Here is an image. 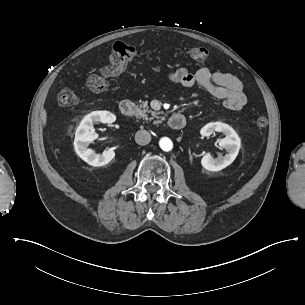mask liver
<instances>
[{"label": "liver", "instance_id": "1", "mask_svg": "<svg viewBox=\"0 0 305 305\" xmlns=\"http://www.w3.org/2000/svg\"><path fill=\"white\" fill-rule=\"evenodd\" d=\"M42 117H43V128H46L48 124V112L47 109L44 107L42 111Z\"/></svg>", "mask_w": 305, "mask_h": 305}]
</instances>
